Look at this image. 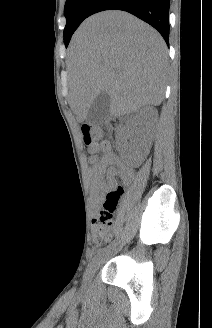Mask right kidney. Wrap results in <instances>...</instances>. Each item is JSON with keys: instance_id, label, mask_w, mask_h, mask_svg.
Segmentation results:
<instances>
[{"instance_id": "1", "label": "right kidney", "mask_w": 212, "mask_h": 328, "mask_svg": "<svg viewBox=\"0 0 212 328\" xmlns=\"http://www.w3.org/2000/svg\"><path fill=\"white\" fill-rule=\"evenodd\" d=\"M158 119V112L152 106H146L138 111L136 114L131 115L127 118L125 122L126 132L124 133V138H131L132 130L138 129V136L132 137L131 142L141 144L143 141L149 140L154 132L155 123Z\"/></svg>"}]
</instances>
